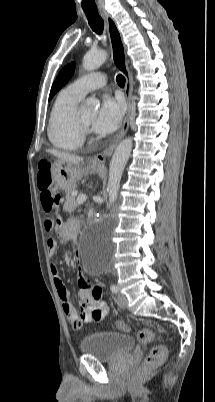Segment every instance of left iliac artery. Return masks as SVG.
Segmentation results:
<instances>
[{"label":"left iliac artery","instance_id":"left-iliac-artery-1","mask_svg":"<svg viewBox=\"0 0 215 402\" xmlns=\"http://www.w3.org/2000/svg\"><path fill=\"white\" fill-rule=\"evenodd\" d=\"M110 289H111V291H112L113 293H117V292H118V287H117L116 285H114V284L111 285Z\"/></svg>","mask_w":215,"mask_h":402}]
</instances>
